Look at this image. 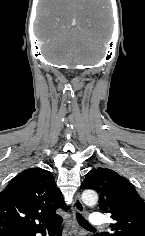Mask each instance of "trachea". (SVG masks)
Instances as JSON below:
<instances>
[{
    "label": "trachea",
    "instance_id": "1",
    "mask_svg": "<svg viewBox=\"0 0 145 236\" xmlns=\"http://www.w3.org/2000/svg\"><path fill=\"white\" fill-rule=\"evenodd\" d=\"M76 217H77V221L79 222V224H80L82 227L90 228V229L93 228V227L90 225V223H89L81 214L77 213ZM57 229H59V227H57Z\"/></svg>",
    "mask_w": 145,
    "mask_h": 236
}]
</instances>
